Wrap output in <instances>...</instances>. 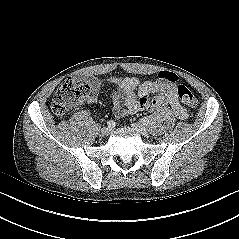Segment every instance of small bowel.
<instances>
[{"label": "small bowel", "instance_id": "small-bowel-1", "mask_svg": "<svg viewBox=\"0 0 239 239\" xmlns=\"http://www.w3.org/2000/svg\"><path fill=\"white\" fill-rule=\"evenodd\" d=\"M80 79L91 90L88 103L97 101L105 82L114 86L111 100L116 117L141 111L152 112L163 106H169L179 119L188 118L186 109L178 100L176 85L160 77L143 83L135 77H111L104 81L95 76L84 75Z\"/></svg>", "mask_w": 239, "mask_h": 239}]
</instances>
